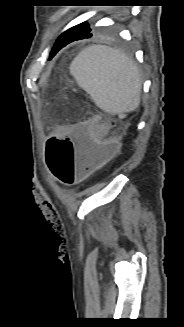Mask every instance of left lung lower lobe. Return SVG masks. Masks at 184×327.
<instances>
[{"label": "left lung lower lobe", "instance_id": "obj_1", "mask_svg": "<svg viewBox=\"0 0 184 327\" xmlns=\"http://www.w3.org/2000/svg\"><path fill=\"white\" fill-rule=\"evenodd\" d=\"M92 36V33L87 34L86 36L84 35H79L78 32L76 30H74V28H70L67 31L63 32L58 39L55 42V45L52 48V51L50 53V59L64 46H66L67 44L76 41V40H81L84 38H90Z\"/></svg>", "mask_w": 184, "mask_h": 327}]
</instances>
